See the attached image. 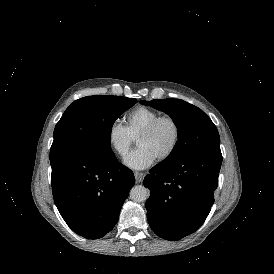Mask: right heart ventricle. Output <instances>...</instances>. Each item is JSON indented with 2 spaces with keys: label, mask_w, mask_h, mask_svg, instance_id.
Wrapping results in <instances>:
<instances>
[{
  "label": "right heart ventricle",
  "mask_w": 274,
  "mask_h": 274,
  "mask_svg": "<svg viewBox=\"0 0 274 274\" xmlns=\"http://www.w3.org/2000/svg\"><path fill=\"white\" fill-rule=\"evenodd\" d=\"M159 116L160 113L156 110L140 108L124 117L125 130L131 138H136L143 129Z\"/></svg>",
  "instance_id": "obj_1"
}]
</instances>
